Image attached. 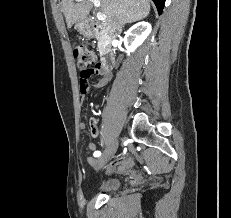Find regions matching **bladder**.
<instances>
[{"mask_svg":"<svg viewBox=\"0 0 231 218\" xmlns=\"http://www.w3.org/2000/svg\"><path fill=\"white\" fill-rule=\"evenodd\" d=\"M121 185V182L117 178H108L104 180L100 185H99V190L102 192H113L117 190Z\"/></svg>","mask_w":231,"mask_h":218,"instance_id":"1","label":"bladder"}]
</instances>
